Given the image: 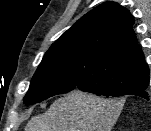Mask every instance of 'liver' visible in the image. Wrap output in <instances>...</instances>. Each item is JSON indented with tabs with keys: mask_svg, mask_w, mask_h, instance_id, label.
<instances>
[{
	"mask_svg": "<svg viewBox=\"0 0 151 131\" xmlns=\"http://www.w3.org/2000/svg\"><path fill=\"white\" fill-rule=\"evenodd\" d=\"M122 106L118 100L75 91L31 118L25 131H111Z\"/></svg>",
	"mask_w": 151,
	"mask_h": 131,
	"instance_id": "obj_1",
	"label": "liver"
}]
</instances>
